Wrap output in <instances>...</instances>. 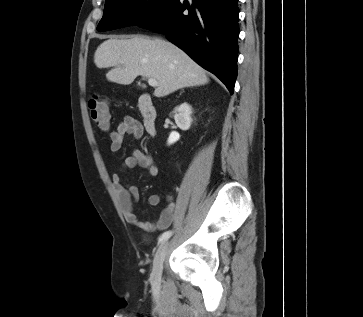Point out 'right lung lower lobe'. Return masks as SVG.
I'll return each instance as SVG.
<instances>
[{
    "instance_id": "obj_1",
    "label": "right lung lower lobe",
    "mask_w": 363,
    "mask_h": 317,
    "mask_svg": "<svg viewBox=\"0 0 363 317\" xmlns=\"http://www.w3.org/2000/svg\"><path fill=\"white\" fill-rule=\"evenodd\" d=\"M176 0L160 16L139 25L163 33L233 93L237 77L238 0ZM188 14H184V10Z\"/></svg>"
}]
</instances>
